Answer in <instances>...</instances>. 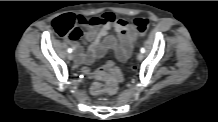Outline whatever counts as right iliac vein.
<instances>
[{"instance_id": "63e3f726", "label": "right iliac vein", "mask_w": 218, "mask_h": 122, "mask_svg": "<svg viewBox=\"0 0 218 122\" xmlns=\"http://www.w3.org/2000/svg\"><path fill=\"white\" fill-rule=\"evenodd\" d=\"M73 58H74V55H73V54H71V53L68 54V59H69V60H73Z\"/></svg>"}]
</instances>
